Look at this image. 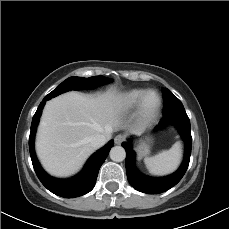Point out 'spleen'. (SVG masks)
<instances>
[{"mask_svg":"<svg viewBox=\"0 0 229 229\" xmlns=\"http://www.w3.org/2000/svg\"><path fill=\"white\" fill-rule=\"evenodd\" d=\"M182 157L181 143H175L169 150H164L154 156L144 159L150 173L163 176L174 172L180 164Z\"/></svg>","mask_w":229,"mask_h":229,"instance_id":"1","label":"spleen"}]
</instances>
